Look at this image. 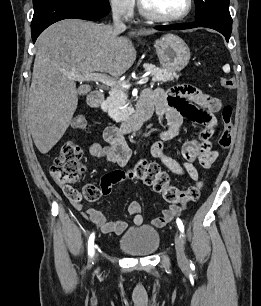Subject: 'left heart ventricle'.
<instances>
[{"label": "left heart ventricle", "mask_w": 261, "mask_h": 306, "mask_svg": "<svg viewBox=\"0 0 261 306\" xmlns=\"http://www.w3.org/2000/svg\"><path fill=\"white\" fill-rule=\"evenodd\" d=\"M148 6L164 16H176L184 12L187 0H144Z\"/></svg>", "instance_id": "1"}]
</instances>
